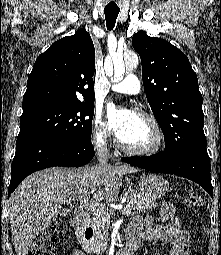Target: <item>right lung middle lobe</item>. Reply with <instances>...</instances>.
I'll return each instance as SVG.
<instances>
[{
  "label": "right lung middle lobe",
  "mask_w": 221,
  "mask_h": 255,
  "mask_svg": "<svg viewBox=\"0 0 221 255\" xmlns=\"http://www.w3.org/2000/svg\"><path fill=\"white\" fill-rule=\"evenodd\" d=\"M94 104H54L23 110L20 132H33L71 142H91Z\"/></svg>",
  "instance_id": "right-lung-middle-lobe-1"
}]
</instances>
